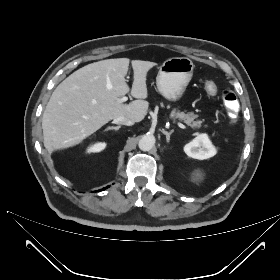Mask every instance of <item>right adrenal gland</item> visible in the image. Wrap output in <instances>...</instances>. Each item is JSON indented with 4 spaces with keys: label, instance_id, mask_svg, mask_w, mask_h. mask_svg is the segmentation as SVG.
<instances>
[{
    "label": "right adrenal gland",
    "instance_id": "obj_1",
    "mask_svg": "<svg viewBox=\"0 0 280 280\" xmlns=\"http://www.w3.org/2000/svg\"><path fill=\"white\" fill-rule=\"evenodd\" d=\"M121 128V126H111V127H108L107 129H105V131H108V130H114V131H117Z\"/></svg>",
    "mask_w": 280,
    "mask_h": 280
}]
</instances>
